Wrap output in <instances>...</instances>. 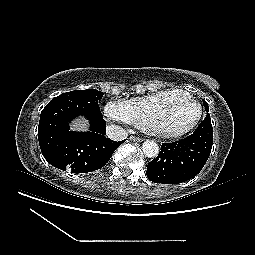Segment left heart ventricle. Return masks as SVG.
Returning <instances> with one entry per match:
<instances>
[{"label":"left heart ventricle","mask_w":255,"mask_h":255,"mask_svg":"<svg viewBox=\"0 0 255 255\" xmlns=\"http://www.w3.org/2000/svg\"><path fill=\"white\" fill-rule=\"evenodd\" d=\"M196 113L195 105L186 101H176L161 115L160 126L167 130H179L188 125Z\"/></svg>","instance_id":"b2bd125f"}]
</instances>
